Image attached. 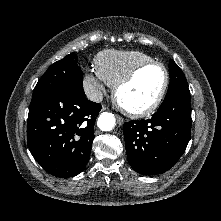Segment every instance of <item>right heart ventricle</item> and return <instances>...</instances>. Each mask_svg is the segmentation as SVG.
<instances>
[{
  "label": "right heart ventricle",
  "mask_w": 221,
  "mask_h": 221,
  "mask_svg": "<svg viewBox=\"0 0 221 221\" xmlns=\"http://www.w3.org/2000/svg\"><path fill=\"white\" fill-rule=\"evenodd\" d=\"M153 60L141 51L105 50L95 58L96 73L110 86H115L137 65Z\"/></svg>",
  "instance_id": "e07e8e85"
}]
</instances>
